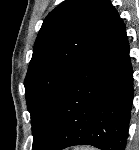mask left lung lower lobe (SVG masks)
I'll return each instance as SVG.
<instances>
[{
	"label": "left lung lower lobe",
	"mask_w": 139,
	"mask_h": 150,
	"mask_svg": "<svg viewBox=\"0 0 139 150\" xmlns=\"http://www.w3.org/2000/svg\"><path fill=\"white\" fill-rule=\"evenodd\" d=\"M125 25L112 6L55 98L33 150L92 145L124 150L133 102Z\"/></svg>",
	"instance_id": "left-lung-lower-lobe-1"
}]
</instances>
